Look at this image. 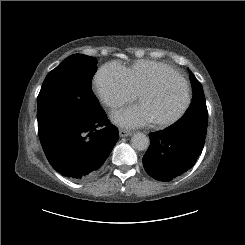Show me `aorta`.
Segmentation results:
<instances>
[{
	"label": "aorta",
	"mask_w": 245,
	"mask_h": 245,
	"mask_svg": "<svg viewBox=\"0 0 245 245\" xmlns=\"http://www.w3.org/2000/svg\"><path fill=\"white\" fill-rule=\"evenodd\" d=\"M131 143L134 149L144 151L148 149L150 140L144 133L138 132L133 135Z\"/></svg>",
	"instance_id": "aorta-1"
}]
</instances>
